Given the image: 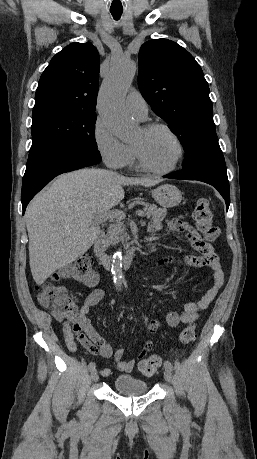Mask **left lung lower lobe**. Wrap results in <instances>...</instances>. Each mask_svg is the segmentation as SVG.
<instances>
[{
  "mask_svg": "<svg viewBox=\"0 0 257 459\" xmlns=\"http://www.w3.org/2000/svg\"><path fill=\"white\" fill-rule=\"evenodd\" d=\"M172 179L198 180L214 186L225 199L227 210L230 204L229 182L224 156L217 139H210L203 160L195 167H183L182 170L164 176Z\"/></svg>",
  "mask_w": 257,
  "mask_h": 459,
  "instance_id": "left-lung-lower-lobe-1",
  "label": "left lung lower lobe"
}]
</instances>
